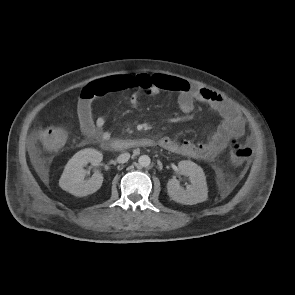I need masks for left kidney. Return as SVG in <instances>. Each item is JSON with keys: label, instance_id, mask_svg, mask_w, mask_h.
Instances as JSON below:
<instances>
[{"label": "left kidney", "instance_id": "1", "mask_svg": "<svg viewBox=\"0 0 295 295\" xmlns=\"http://www.w3.org/2000/svg\"><path fill=\"white\" fill-rule=\"evenodd\" d=\"M178 167L181 174L189 176L191 185L184 189L177 179H170L167 183L169 197L175 202L185 205L204 202L207 199L208 188L203 169L189 160L180 161Z\"/></svg>", "mask_w": 295, "mask_h": 295}]
</instances>
